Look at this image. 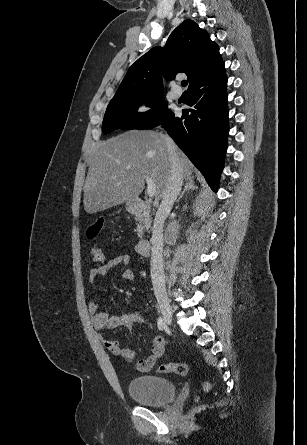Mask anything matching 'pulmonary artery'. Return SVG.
<instances>
[{"label": "pulmonary artery", "instance_id": "pulmonary-artery-1", "mask_svg": "<svg viewBox=\"0 0 307 445\" xmlns=\"http://www.w3.org/2000/svg\"><path fill=\"white\" fill-rule=\"evenodd\" d=\"M170 92L175 98H178L181 95V91L177 87H172Z\"/></svg>", "mask_w": 307, "mask_h": 445}]
</instances>
